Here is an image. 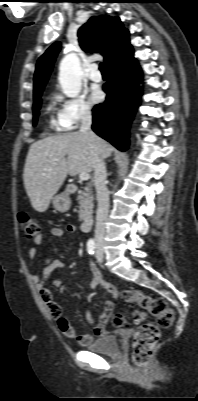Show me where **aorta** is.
<instances>
[{
    "label": "aorta",
    "mask_w": 198,
    "mask_h": 401,
    "mask_svg": "<svg viewBox=\"0 0 198 401\" xmlns=\"http://www.w3.org/2000/svg\"><path fill=\"white\" fill-rule=\"evenodd\" d=\"M59 83L68 97H77L81 91V67L75 54L65 56L59 67Z\"/></svg>",
    "instance_id": "762f6f07"
}]
</instances>
